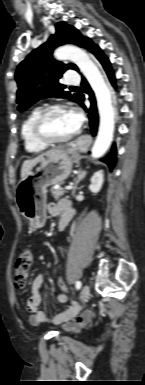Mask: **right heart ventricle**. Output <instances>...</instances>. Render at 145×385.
I'll use <instances>...</instances> for the list:
<instances>
[{
    "label": "right heart ventricle",
    "mask_w": 145,
    "mask_h": 385,
    "mask_svg": "<svg viewBox=\"0 0 145 385\" xmlns=\"http://www.w3.org/2000/svg\"><path fill=\"white\" fill-rule=\"evenodd\" d=\"M40 110L41 108L39 107H36L33 110H31L21 125V130H20L21 138H22L25 150L29 153H39L46 148V145L37 141L34 138L32 133V125H33L34 119L36 118Z\"/></svg>",
    "instance_id": "1"
}]
</instances>
